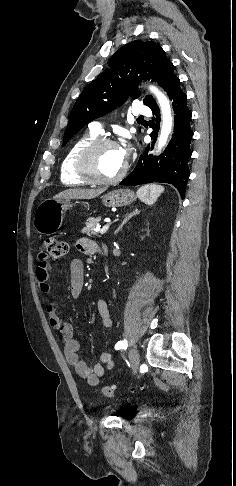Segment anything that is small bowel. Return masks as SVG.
Here are the masks:
<instances>
[{"instance_id": "small-bowel-1", "label": "small bowel", "mask_w": 236, "mask_h": 486, "mask_svg": "<svg viewBox=\"0 0 236 486\" xmlns=\"http://www.w3.org/2000/svg\"><path fill=\"white\" fill-rule=\"evenodd\" d=\"M77 248L84 254H92L96 252L97 244L89 238H81L77 241ZM49 271L50 264L48 260L44 256H41L35 269V275L40 289L45 293L50 292L48 282L50 276ZM83 285L84 265L80 259L72 258L70 260V297L73 299L79 298L83 290ZM46 309L49 315L50 325L60 334L67 362L75 369L79 377L86 380L88 384L92 386L97 385L105 371L113 368V354L110 352H103L100 355V363L90 364L85 361L79 354L80 343L74 337L73 326L59 316V302L56 300H49ZM97 309L101 317L102 325L107 330H110L112 328V318L108 305L104 299H99L97 301Z\"/></svg>"}]
</instances>
